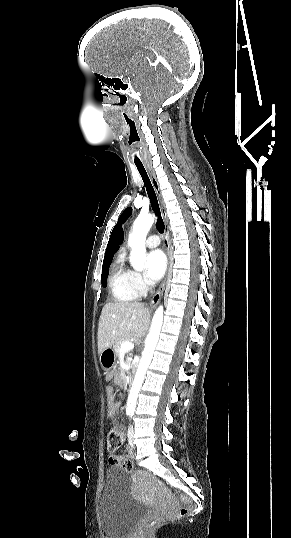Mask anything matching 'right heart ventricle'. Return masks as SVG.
Instances as JSON below:
<instances>
[{"instance_id": "obj_1", "label": "right heart ventricle", "mask_w": 291, "mask_h": 538, "mask_svg": "<svg viewBox=\"0 0 291 538\" xmlns=\"http://www.w3.org/2000/svg\"><path fill=\"white\" fill-rule=\"evenodd\" d=\"M109 288L116 302H131L140 294L134 283L133 271L124 264L122 256L112 264Z\"/></svg>"}]
</instances>
